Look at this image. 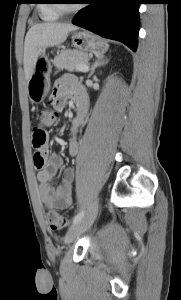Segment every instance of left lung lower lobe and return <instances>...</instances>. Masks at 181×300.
Here are the masks:
<instances>
[{
    "label": "left lung lower lobe",
    "mask_w": 181,
    "mask_h": 300,
    "mask_svg": "<svg viewBox=\"0 0 181 300\" xmlns=\"http://www.w3.org/2000/svg\"><path fill=\"white\" fill-rule=\"evenodd\" d=\"M140 0H87L73 24L102 37L123 42L136 51Z\"/></svg>",
    "instance_id": "left-lung-lower-lobe-1"
}]
</instances>
